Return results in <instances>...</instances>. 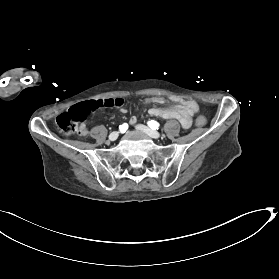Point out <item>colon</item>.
<instances>
[{"label": "colon", "instance_id": "1", "mask_svg": "<svg viewBox=\"0 0 279 279\" xmlns=\"http://www.w3.org/2000/svg\"><path fill=\"white\" fill-rule=\"evenodd\" d=\"M177 99L192 113L199 111V104L191 97L181 96ZM124 104L123 98H106L81 102L72 106L66 112L60 114L56 118L58 130L64 134L79 133L84 118L94 109L100 107H119ZM206 124V118L199 115L196 118V125L202 127Z\"/></svg>", "mask_w": 279, "mask_h": 279}]
</instances>
